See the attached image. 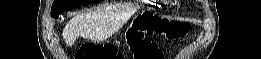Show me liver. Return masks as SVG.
Masks as SVG:
<instances>
[{
    "label": "liver",
    "instance_id": "obj_1",
    "mask_svg": "<svg viewBox=\"0 0 261 59\" xmlns=\"http://www.w3.org/2000/svg\"><path fill=\"white\" fill-rule=\"evenodd\" d=\"M126 18L108 6H100L73 17L63 29V39L72 46L79 36L103 41L116 33Z\"/></svg>",
    "mask_w": 261,
    "mask_h": 59
}]
</instances>
